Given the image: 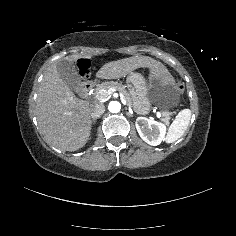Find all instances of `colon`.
<instances>
[{"label": "colon", "instance_id": "colon-1", "mask_svg": "<svg viewBox=\"0 0 236 236\" xmlns=\"http://www.w3.org/2000/svg\"><path fill=\"white\" fill-rule=\"evenodd\" d=\"M178 89H179V92H180V93H183V90H184L183 85L180 84V85L178 86Z\"/></svg>", "mask_w": 236, "mask_h": 236}]
</instances>
